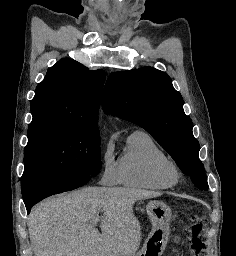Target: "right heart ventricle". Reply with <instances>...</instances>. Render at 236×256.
I'll return each instance as SVG.
<instances>
[{"label": "right heart ventricle", "instance_id": "1", "mask_svg": "<svg viewBox=\"0 0 236 256\" xmlns=\"http://www.w3.org/2000/svg\"><path fill=\"white\" fill-rule=\"evenodd\" d=\"M127 153L120 160L121 184L131 188L165 190L174 183L162 179L158 166L169 156L144 131H135L127 140Z\"/></svg>", "mask_w": 236, "mask_h": 256}]
</instances>
